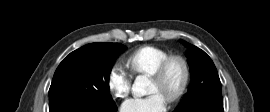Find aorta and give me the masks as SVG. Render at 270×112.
Instances as JSON below:
<instances>
[{
  "label": "aorta",
  "instance_id": "obj_1",
  "mask_svg": "<svg viewBox=\"0 0 270 112\" xmlns=\"http://www.w3.org/2000/svg\"><path fill=\"white\" fill-rule=\"evenodd\" d=\"M150 84L151 82L146 76L144 75L137 76L132 86L133 94L137 97H142L146 95Z\"/></svg>",
  "mask_w": 270,
  "mask_h": 112
}]
</instances>
